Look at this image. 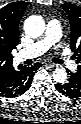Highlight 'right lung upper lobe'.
Returning a JSON list of instances; mask_svg holds the SVG:
<instances>
[{
    "instance_id": "cb5924a9",
    "label": "right lung upper lobe",
    "mask_w": 81,
    "mask_h": 124,
    "mask_svg": "<svg viewBox=\"0 0 81 124\" xmlns=\"http://www.w3.org/2000/svg\"><path fill=\"white\" fill-rule=\"evenodd\" d=\"M29 2L17 1L0 9V76L13 68L12 50L19 42V23Z\"/></svg>"
}]
</instances>
